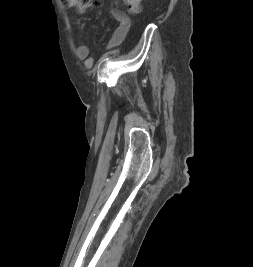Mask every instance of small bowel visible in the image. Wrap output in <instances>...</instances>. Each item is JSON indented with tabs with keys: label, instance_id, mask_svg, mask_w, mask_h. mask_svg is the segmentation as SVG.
Wrapping results in <instances>:
<instances>
[{
	"label": "small bowel",
	"instance_id": "c3829d8e",
	"mask_svg": "<svg viewBox=\"0 0 253 267\" xmlns=\"http://www.w3.org/2000/svg\"><path fill=\"white\" fill-rule=\"evenodd\" d=\"M112 14L114 18L118 21L119 25L115 29L110 39L102 47V50L114 49L120 44H122L131 27V21L127 15L118 10H114ZM76 54L80 59L85 60L87 63H92L94 60V58L90 56L88 46L85 44H80L77 46Z\"/></svg>",
	"mask_w": 253,
	"mask_h": 267
}]
</instances>
